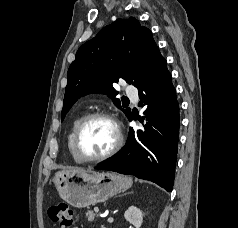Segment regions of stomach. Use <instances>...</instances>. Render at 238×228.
Wrapping results in <instances>:
<instances>
[{
	"label": "stomach",
	"mask_w": 238,
	"mask_h": 228,
	"mask_svg": "<svg viewBox=\"0 0 238 228\" xmlns=\"http://www.w3.org/2000/svg\"><path fill=\"white\" fill-rule=\"evenodd\" d=\"M53 182L60 197L77 208L104 202L132 185L130 177L114 172L59 171Z\"/></svg>",
	"instance_id": "stomach-1"
}]
</instances>
